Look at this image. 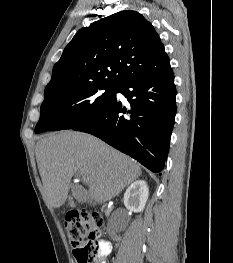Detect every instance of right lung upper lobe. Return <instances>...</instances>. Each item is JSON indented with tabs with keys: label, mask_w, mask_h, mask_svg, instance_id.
I'll use <instances>...</instances> for the list:
<instances>
[{
	"label": "right lung upper lobe",
	"mask_w": 233,
	"mask_h": 263,
	"mask_svg": "<svg viewBox=\"0 0 233 263\" xmlns=\"http://www.w3.org/2000/svg\"><path fill=\"white\" fill-rule=\"evenodd\" d=\"M170 67L154 27L140 13H115L80 29L55 64L44 97L90 85L118 87Z\"/></svg>",
	"instance_id": "1"
}]
</instances>
